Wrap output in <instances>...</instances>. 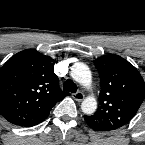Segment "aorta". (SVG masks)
Instances as JSON below:
<instances>
[{
  "label": "aorta",
  "mask_w": 145,
  "mask_h": 145,
  "mask_svg": "<svg viewBox=\"0 0 145 145\" xmlns=\"http://www.w3.org/2000/svg\"><path fill=\"white\" fill-rule=\"evenodd\" d=\"M71 76L78 83L89 86L91 84L92 76L89 67L82 63L78 62L74 64L71 68ZM82 112L91 115L97 109V101L94 97H87L83 100L81 104Z\"/></svg>",
  "instance_id": "762f6f07"
}]
</instances>
